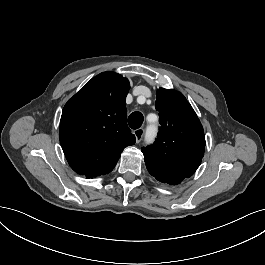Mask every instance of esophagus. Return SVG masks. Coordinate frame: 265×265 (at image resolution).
Returning a JSON list of instances; mask_svg holds the SVG:
<instances>
[{
    "label": "esophagus",
    "mask_w": 265,
    "mask_h": 265,
    "mask_svg": "<svg viewBox=\"0 0 265 265\" xmlns=\"http://www.w3.org/2000/svg\"><path fill=\"white\" fill-rule=\"evenodd\" d=\"M133 133H134V135L136 137V142L139 143L142 140V138H143L144 129H142V128L135 129L133 131Z\"/></svg>",
    "instance_id": "1"
}]
</instances>
